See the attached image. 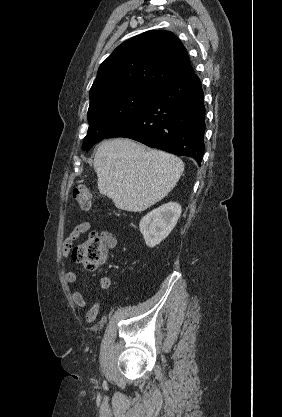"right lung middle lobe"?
Segmentation results:
<instances>
[{"label":"right lung middle lobe","mask_w":282,"mask_h":417,"mask_svg":"<svg viewBox=\"0 0 282 417\" xmlns=\"http://www.w3.org/2000/svg\"><path fill=\"white\" fill-rule=\"evenodd\" d=\"M157 91L124 89L90 97L88 110L89 129L83 141V150L88 151L111 131L127 121L143 108Z\"/></svg>","instance_id":"1"}]
</instances>
